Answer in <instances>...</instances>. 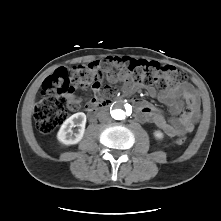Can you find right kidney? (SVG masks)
Returning a JSON list of instances; mask_svg holds the SVG:
<instances>
[{
	"label": "right kidney",
	"instance_id": "obj_1",
	"mask_svg": "<svg viewBox=\"0 0 221 221\" xmlns=\"http://www.w3.org/2000/svg\"><path fill=\"white\" fill-rule=\"evenodd\" d=\"M86 125V115L78 112L66 119L61 125L57 139L65 145L77 144L83 138ZM78 127L76 131L73 128Z\"/></svg>",
	"mask_w": 221,
	"mask_h": 221
}]
</instances>
